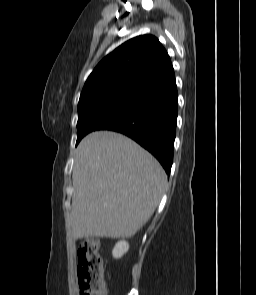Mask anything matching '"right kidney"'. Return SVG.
I'll list each match as a JSON object with an SVG mask.
<instances>
[{"label": "right kidney", "mask_w": 256, "mask_h": 295, "mask_svg": "<svg viewBox=\"0 0 256 295\" xmlns=\"http://www.w3.org/2000/svg\"><path fill=\"white\" fill-rule=\"evenodd\" d=\"M129 249V244L126 241H119L113 248L112 255L114 258H121Z\"/></svg>", "instance_id": "ca27d5eb"}]
</instances>
